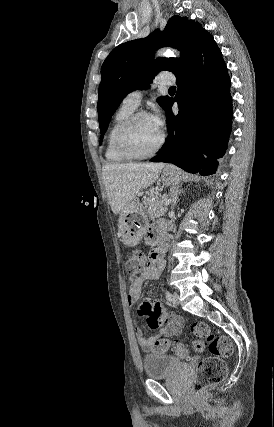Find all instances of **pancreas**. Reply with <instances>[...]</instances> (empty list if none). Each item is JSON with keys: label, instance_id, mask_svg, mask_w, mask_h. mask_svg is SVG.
I'll return each mask as SVG.
<instances>
[{"label": "pancreas", "instance_id": "obj_1", "mask_svg": "<svg viewBox=\"0 0 274 427\" xmlns=\"http://www.w3.org/2000/svg\"><path fill=\"white\" fill-rule=\"evenodd\" d=\"M145 202L148 206L147 214L149 219H154V217H161V215L166 214V196H162V198H158V196H150V198H147Z\"/></svg>", "mask_w": 274, "mask_h": 427}]
</instances>
